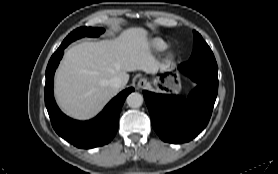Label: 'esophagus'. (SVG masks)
Listing matches in <instances>:
<instances>
[{
  "mask_svg": "<svg viewBox=\"0 0 278 174\" xmlns=\"http://www.w3.org/2000/svg\"><path fill=\"white\" fill-rule=\"evenodd\" d=\"M148 86V81L146 78L142 77L137 82V87L139 89H145Z\"/></svg>",
  "mask_w": 278,
  "mask_h": 174,
  "instance_id": "34e87169",
  "label": "esophagus"
}]
</instances>
